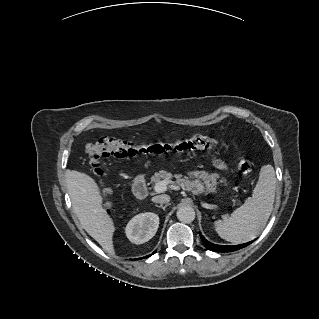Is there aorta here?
I'll return each instance as SVG.
<instances>
[{
  "instance_id": "aorta-1",
  "label": "aorta",
  "mask_w": 319,
  "mask_h": 319,
  "mask_svg": "<svg viewBox=\"0 0 319 319\" xmlns=\"http://www.w3.org/2000/svg\"><path fill=\"white\" fill-rule=\"evenodd\" d=\"M177 218L183 223H191L195 219V211L191 206H180L177 210Z\"/></svg>"
}]
</instances>
